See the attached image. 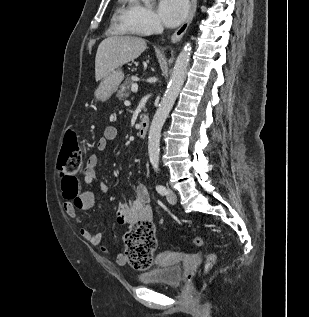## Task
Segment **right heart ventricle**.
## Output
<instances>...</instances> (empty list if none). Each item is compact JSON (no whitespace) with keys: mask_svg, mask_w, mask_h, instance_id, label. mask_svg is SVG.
Here are the masks:
<instances>
[{"mask_svg":"<svg viewBox=\"0 0 309 317\" xmlns=\"http://www.w3.org/2000/svg\"><path fill=\"white\" fill-rule=\"evenodd\" d=\"M127 0H121V2L123 4L126 3ZM128 7H126L125 5H122L118 12H117V22L119 23L120 29L123 33H127V34H134L135 31H133L125 22V15L127 12Z\"/></svg>","mask_w":309,"mask_h":317,"instance_id":"e07e8e85","label":"right heart ventricle"}]
</instances>
